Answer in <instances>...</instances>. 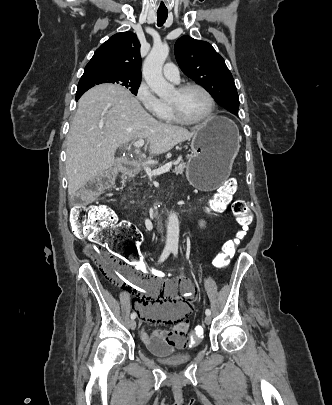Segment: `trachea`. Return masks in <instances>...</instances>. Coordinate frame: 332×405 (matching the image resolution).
<instances>
[{"label": "trachea", "instance_id": "1", "mask_svg": "<svg viewBox=\"0 0 332 405\" xmlns=\"http://www.w3.org/2000/svg\"><path fill=\"white\" fill-rule=\"evenodd\" d=\"M167 16H168V11L167 10H164V11L158 10L157 11V23H158V26H162L165 23V21L167 19Z\"/></svg>", "mask_w": 332, "mask_h": 405}]
</instances>
